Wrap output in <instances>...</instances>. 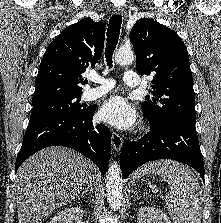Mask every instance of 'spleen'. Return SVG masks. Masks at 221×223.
<instances>
[{
	"mask_svg": "<svg viewBox=\"0 0 221 223\" xmlns=\"http://www.w3.org/2000/svg\"><path fill=\"white\" fill-rule=\"evenodd\" d=\"M157 174L167 182L166 206L174 223H201L202 192L193 172L173 160H157L137 171V178Z\"/></svg>",
	"mask_w": 221,
	"mask_h": 223,
	"instance_id": "1",
	"label": "spleen"
}]
</instances>
